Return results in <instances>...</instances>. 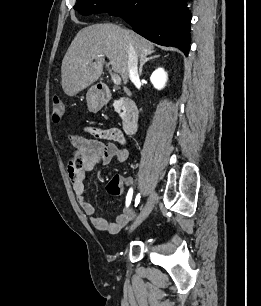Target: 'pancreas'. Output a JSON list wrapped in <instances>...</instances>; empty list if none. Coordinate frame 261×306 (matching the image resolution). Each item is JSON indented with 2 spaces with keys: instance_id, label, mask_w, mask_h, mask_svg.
<instances>
[{
  "instance_id": "1",
  "label": "pancreas",
  "mask_w": 261,
  "mask_h": 306,
  "mask_svg": "<svg viewBox=\"0 0 261 306\" xmlns=\"http://www.w3.org/2000/svg\"><path fill=\"white\" fill-rule=\"evenodd\" d=\"M114 108L116 111L120 110L123 108V100H117V101H114ZM121 115V113H120Z\"/></svg>"
}]
</instances>
